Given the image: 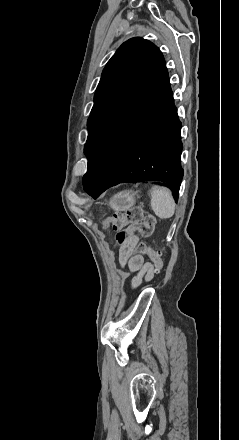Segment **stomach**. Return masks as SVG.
<instances>
[{
  "label": "stomach",
  "mask_w": 239,
  "mask_h": 440,
  "mask_svg": "<svg viewBox=\"0 0 239 440\" xmlns=\"http://www.w3.org/2000/svg\"><path fill=\"white\" fill-rule=\"evenodd\" d=\"M137 192L132 190H124V192H118L113 198H110L108 204L114 212H125L130 210L136 202Z\"/></svg>",
  "instance_id": "stomach-1"
}]
</instances>
